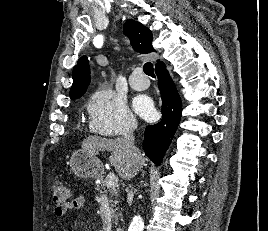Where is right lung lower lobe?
<instances>
[{
    "label": "right lung lower lobe",
    "instance_id": "right-lung-lower-lobe-1",
    "mask_svg": "<svg viewBox=\"0 0 268 231\" xmlns=\"http://www.w3.org/2000/svg\"><path fill=\"white\" fill-rule=\"evenodd\" d=\"M155 72L163 102V117L157 124L146 127L143 148L146 155L159 166L179 125L182 103L164 63L155 68Z\"/></svg>",
    "mask_w": 268,
    "mask_h": 231
}]
</instances>
